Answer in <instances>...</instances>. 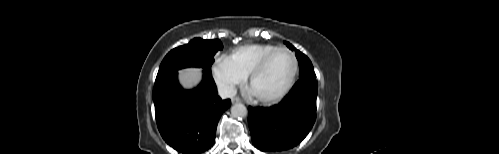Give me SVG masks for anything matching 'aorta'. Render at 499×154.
I'll use <instances>...</instances> for the list:
<instances>
[{
	"label": "aorta",
	"instance_id": "762f6f07",
	"mask_svg": "<svg viewBox=\"0 0 499 154\" xmlns=\"http://www.w3.org/2000/svg\"><path fill=\"white\" fill-rule=\"evenodd\" d=\"M247 114H248V111H247L246 106L241 104V103L234 104L231 107V115L234 118H244L247 116Z\"/></svg>",
	"mask_w": 499,
	"mask_h": 154
}]
</instances>
